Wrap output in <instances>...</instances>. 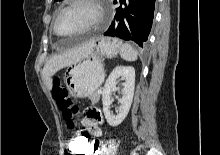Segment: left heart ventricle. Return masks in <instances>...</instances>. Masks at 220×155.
Here are the masks:
<instances>
[{
    "label": "left heart ventricle",
    "instance_id": "obj_1",
    "mask_svg": "<svg viewBox=\"0 0 220 155\" xmlns=\"http://www.w3.org/2000/svg\"><path fill=\"white\" fill-rule=\"evenodd\" d=\"M95 15V9L91 5H75L59 15L56 30L62 36H69L89 24Z\"/></svg>",
    "mask_w": 220,
    "mask_h": 155
}]
</instances>
